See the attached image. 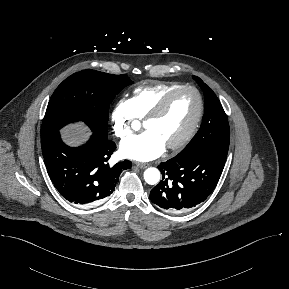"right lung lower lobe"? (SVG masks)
Returning a JSON list of instances; mask_svg holds the SVG:
<instances>
[{"label":"right lung lower lobe","instance_id":"right-lung-lower-lobe-1","mask_svg":"<svg viewBox=\"0 0 289 289\" xmlns=\"http://www.w3.org/2000/svg\"><path fill=\"white\" fill-rule=\"evenodd\" d=\"M48 174L59 193L73 204H98L110 196L122 171L130 161L110 166L108 160L116 145L108 138L92 135L82 146L72 148L59 131L41 137Z\"/></svg>","mask_w":289,"mask_h":289}]
</instances>
